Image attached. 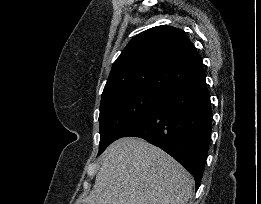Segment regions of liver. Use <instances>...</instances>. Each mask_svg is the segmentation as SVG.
<instances>
[{"label":"liver","mask_w":261,"mask_h":204,"mask_svg":"<svg viewBox=\"0 0 261 204\" xmlns=\"http://www.w3.org/2000/svg\"><path fill=\"white\" fill-rule=\"evenodd\" d=\"M101 158L93 189L76 204H187L192 196V176L143 139H118Z\"/></svg>","instance_id":"1"}]
</instances>
